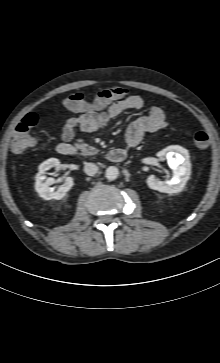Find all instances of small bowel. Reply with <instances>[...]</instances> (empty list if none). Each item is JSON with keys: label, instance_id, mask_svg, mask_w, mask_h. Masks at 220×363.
Returning <instances> with one entry per match:
<instances>
[{"label": "small bowel", "instance_id": "1", "mask_svg": "<svg viewBox=\"0 0 220 363\" xmlns=\"http://www.w3.org/2000/svg\"><path fill=\"white\" fill-rule=\"evenodd\" d=\"M144 105L143 98L138 95H130L107 105H100L96 102L86 103L82 110L77 111L78 115L63 123L61 138L64 142H70L77 129L93 133L107 125L114 117L127 111H139ZM166 126L167 120L163 109L157 106L151 107L146 115L138 118L129 126L125 137L126 145L135 147L145 134L158 132Z\"/></svg>", "mask_w": 220, "mask_h": 363}]
</instances>
